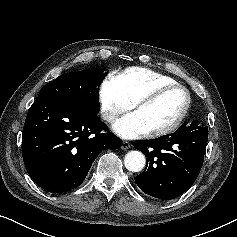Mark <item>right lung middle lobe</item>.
<instances>
[{"label": "right lung middle lobe", "mask_w": 237, "mask_h": 237, "mask_svg": "<svg viewBox=\"0 0 237 237\" xmlns=\"http://www.w3.org/2000/svg\"><path fill=\"white\" fill-rule=\"evenodd\" d=\"M104 71V68H90L60 75L42 88L37 99H54L85 113L97 114L100 109L99 86L104 79Z\"/></svg>", "instance_id": "dd1d6c3e"}]
</instances>
